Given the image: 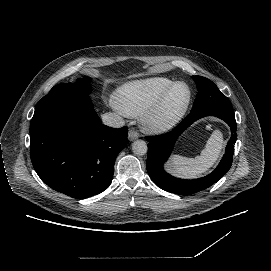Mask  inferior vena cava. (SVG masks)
<instances>
[{
    "label": "inferior vena cava",
    "instance_id": "602c4592",
    "mask_svg": "<svg viewBox=\"0 0 271 271\" xmlns=\"http://www.w3.org/2000/svg\"><path fill=\"white\" fill-rule=\"evenodd\" d=\"M102 121L105 125L114 127V128H120L124 126V120L122 117L115 113H105L102 115Z\"/></svg>",
    "mask_w": 271,
    "mask_h": 271
}]
</instances>
